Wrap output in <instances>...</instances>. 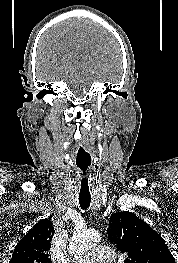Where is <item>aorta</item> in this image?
<instances>
[{"mask_svg": "<svg viewBox=\"0 0 178 263\" xmlns=\"http://www.w3.org/2000/svg\"><path fill=\"white\" fill-rule=\"evenodd\" d=\"M99 242L100 235L95 230H77L70 240L69 252L75 258H80L92 246Z\"/></svg>", "mask_w": 178, "mask_h": 263, "instance_id": "1", "label": "aorta"}]
</instances>
